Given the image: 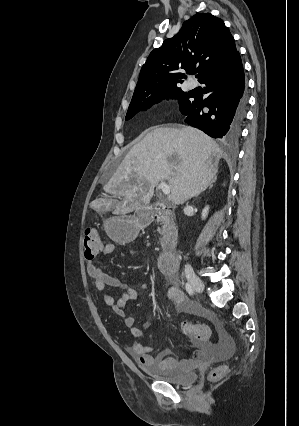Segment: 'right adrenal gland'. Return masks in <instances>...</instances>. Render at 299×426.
Masks as SVG:
<instances>
[{"instance_id":"2a0ac1e0","label":"right adrenal gland","mask_w":299,"mask_h":426,"mask_svg":"<svg viewBox=\"0 0 299 426\" xmlns=\"http://www.w3.org/2000/svg\"><path fill=\"white\" fill-rule=\"evenodd\" d=\"M215 181H216V178H214V179L211 181V183H210V187L212 186V184H213ZM196 196H198V195H196Z\"/></svg>"}]
</instances>
